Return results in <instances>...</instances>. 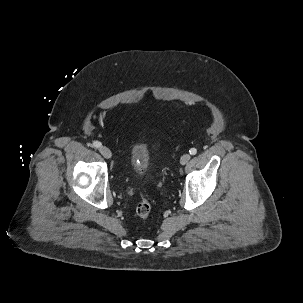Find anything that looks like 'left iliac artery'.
<instances>
[{
  "instance_id": "left-iliac-artery-1",
  "label": "left iliac artery",
  "mask_w": 303,
  "mask_h": 303,
  "mask_svg": "<svg viewBox=\"0 0 303 303\" xmlns=\"http://www.w3.org/2000/svg\"><path fill=\"white\" fill-rule=\"evenodd\" d=\"M190 155H195L197 153V149L196 148H191L189 150Z\"/></svg>"
}]
</instances>
